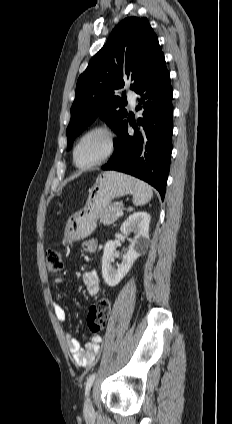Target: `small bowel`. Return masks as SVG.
I'll list each match as a JSON object with an SVG mask.
<instances>
[{
	"instance_id": "obj_1",
	"label": "small bowel",
	"mask_w": 232,
	"mask_h": 424,
	"mask_svg": "<svg viewBox=\"0 0 232 424\" xmlns=\"http://www.w3.org/2000/svg\"><path fill=\"white\" fill-rule=\"evenodd\" d=\"M98 247V240L90 238L84 242L83 249L87 252H93ZM83 282L86 285L90 296H95L100 291V277L97 271H89L83 274ZM71 280L67 276H60L54 279L55 286H68ZM70 292V290H69ZM53 312L58 321L64 323L68 319L66 309L59 303H53ZM100 338L95 337L86 344L84 348L80 346L79 341L71 334H66V343L69 353L78 366L90 367L94 364L100 350Z\"/></svg>"
}]
</instances>
